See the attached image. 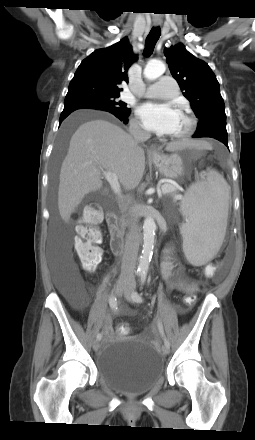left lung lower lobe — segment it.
I'll use <instances>...</instances> for the list:
<instances>
[{
    "instance_id": "obj_1",
    "label": "left lung lower lobe",
    "mask_w": 255,
    "mask_h": 440,
    "mask_svg": "<svg viewBox=\"0 0 255 440\" xmlns=\"http://www.w3.org/2000/svg\"><path fill=\"white\" fill-rule=\"evenodd\" d=\"M192 137L193 138H201V137L214 138L216 140H219L220 142H222L223 144H225L228 147L227 134H221V133H217V132H207V133H202V134L195 133Z\"/></svg>"
}]
</instances>
